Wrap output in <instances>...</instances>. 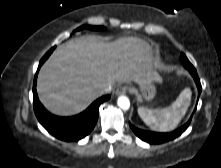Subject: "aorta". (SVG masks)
I'll return each mask as SVG.
<instances>
[{
  "mask_svg": "<svg viewBox=\"0 0 221 168\" xmlns=\"http://www.w3.org/2000/svg\"><path fill=\"white\" fill-rule=\"evenodd\" d=\"M117 104L122 110H128L130 108V101L126 96H120L117 100Z\"/></svg>",
  "mask_w": 221,
  "mask_h": 168,
  "instance_id": "1",
  "label": "aorta"
}]
</instances>
